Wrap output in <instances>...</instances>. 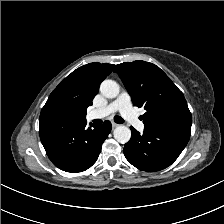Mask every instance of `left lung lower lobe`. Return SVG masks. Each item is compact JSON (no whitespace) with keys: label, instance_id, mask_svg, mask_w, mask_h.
I'll list each match as a JSON object with an SVG mask.
<instances>
[{"label":"left lung lower lobe","instance_id":"0a47b994","mask_svg":"<svg viewBox=\"0 0 224 224\" xmlns=\"http://www.w3.org/2000/svg\"><path fill=\"white\" fill-rule=\"evenodd\" d=\"M124 146L126 159L140 170L153 172L170 166L187 145L190 136L165 129L145 127L143 134L131 127Z\"/></svg>","mask_w":224,"mask_h":224}]
</instances>
